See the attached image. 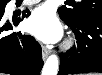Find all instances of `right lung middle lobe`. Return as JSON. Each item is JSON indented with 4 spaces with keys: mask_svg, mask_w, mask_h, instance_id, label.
I'll use <instances>...</instances> for the list:
<instances>
[{
    "mask_svg": "<svg viewBox=\"0 0 102 75\" xmlns=\"http://www.w3.org/2000/svg\"><path fill=\"white\" fill-rule=\"evenodd\" d=\"M5 4H6V2L4 0H1L0 1V9L1 10H4L5 9Z\"/></svg>",
    "mask_w": 102,
    "mask_h": 75,
    "instance_id": "dd1d6c3e",
    "label": "right lung middle lobe"
}]
</instances>
